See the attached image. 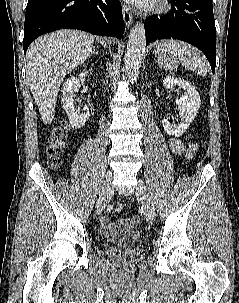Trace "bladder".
<instances>
[{"mask_svg": "<svg viewBox=\"0 0 239 303\" xmlns=\"http://www.w3.org/2000/svg\"><path fill=\"white\" fill-rule=\"evenodd\" d=\"M139 241V235L137 233H125L107 241L109 245H122V246H133Z\"/></svg>", "mask_w": 239, "mask_h": 303, "instance_id": "1", "label": "bladder"}]
</instances>
